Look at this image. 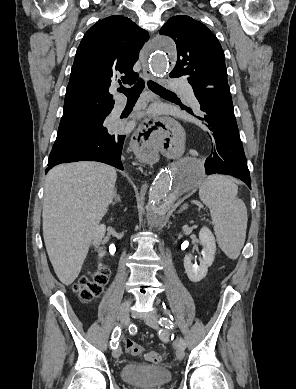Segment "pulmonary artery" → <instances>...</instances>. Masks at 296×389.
Masks as SVG:
<instances>
[{
	"instance_id": "e3ab8cb5",
	"label": "pulmonary artery",
	"mask_w": 296,
	"mask_h": 389,
	"mask_svg": "<svg viewBox=\"0 0 296 389\" xmlns=\"http://www.w3.org/2000/svg\"><path fill=\"white\" fill-rule=\"evenodd\" d=\"M170 87L173 89V90H176V91H179L183 94V97L185 99V101L192 107H194L195 109L199 110L200 108V104L198 102V100L196 99L194 93H193V90L192 88L188 85V84H185L179 80H174L172 82H170ZM123 103H119L115 108H114V114L115 115H118L121 113V111L123 110Z\"/></svg>"
}]
</instances>
